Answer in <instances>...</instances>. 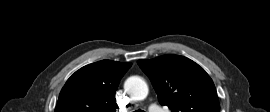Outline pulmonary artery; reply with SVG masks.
I'll list each match as a JSON object with an SVG mask.
<instances>
[{"label":"pulmonary artery","mask_w":270,"mask_h":112,"mask_svg":"<svg viewBox=\"0 0 270 112\" xmlns=\"http://www.w3.org/2000/svg\"><path fill=\"white\" fill-rule=\"evenodd\" d=\"M151 112H162V110L158 107H154L151 109Z\"/></svg>","instance_id":"e3ab8cb5"}]
</instances>
